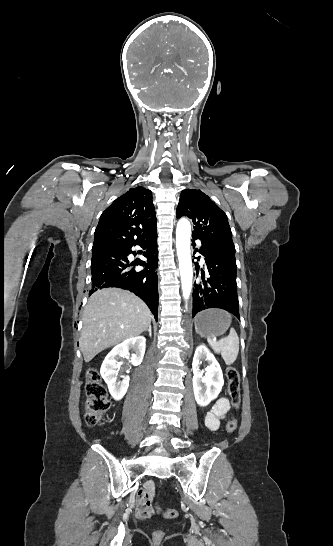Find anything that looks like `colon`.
<instances>
[{"instance_id": "1", "label": "colon", "mask_w": 333, "mask_h": 546, "mask_svg": "<svg viewBox=\"0 0 333 546\" xmlns=\"http://www.w3.org/2000/svg\"><path fill=\"white\" fill-rule=\"evenodd\" d=\"M86 381V413L85 421L89 427L98 425L110 407V401L107 395V389L102 382L99 371L91 368L87 372ZM227 391L230 402L235 409H238L241 403L240 376L238 370L234 367L226 368ZM237 428V421L231 419L226 424V431L233 433ZM156 510L167 519L177 518L179 511L177 509H161L156 506ZM163 532L157 531L155 537L161 539Z\"/></svg>"}]
</instances>
